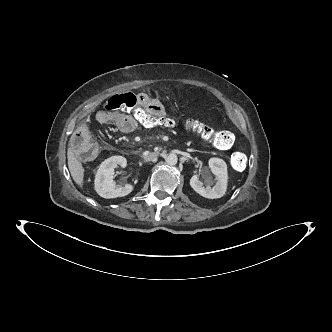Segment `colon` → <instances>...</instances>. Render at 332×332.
Instances as JSON below:
<instances>
[{"mask_svg": "<svg viewBox=\"0 0 332 332\" xmlns=\"http://www.w3.org/2000/svg\"><path fill=\"white\" fill-rule=\"evenodd\" d=\"M137 96L132 93L117 94L109 98L104 104L103 111H119L137 120L142 128L184 127L194 133L210 140L220 149H228L234 143V136L229 131H214L207 125L191 118L179 119L174 117L160 118L144 112L136 103ZM72 148L83 159H92L97 154L96 146L84 135L79 134L72 140ZM247 156L243 152H235L231 156V165L234 170L241 171L245 168Z\"/></svg>", "mask_w": 332, "mask_h": 332, "instance_id": "5ec220e1", "label": "colon"}]
</instances>
